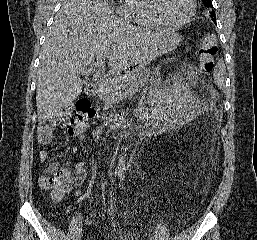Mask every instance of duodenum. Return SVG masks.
<instances>
[{
	"label": "duodenum",
	"mask_w": 257,
	"mask_h": 240,
	"mask_svg": "<svg viewBox=\"0 0 257 240\" xmlns=\"http://www.w3.org/2000/svg\"><path fill=\"white\" fill-rule=\"evenodd\" d=\"M97 88H98L97 83L92 82V83H90V84L86 87L85 92H86V94H87L88 96H92V95H94V94L96 93ZM117 123H118V122H116V124H117Z\"/></svg>",
	"instance_id": "obj_1"
}]
</instances>
